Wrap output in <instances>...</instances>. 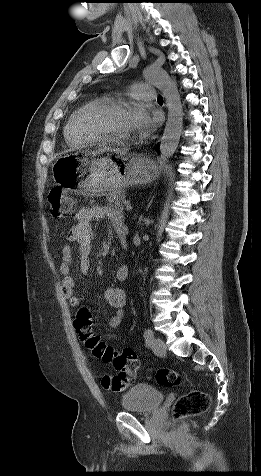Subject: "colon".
<instances>
[{"label": "colon", "instance_id": "5ec220e1", "mask_svg": "<svg viewBox=\"0 0 261 476\" xmlns=\"http://www.w3.org/2000/svg\"><path fill=\"white\" fill-rule=\"evenodd\" d=\"M50 213L53 217L61 218L70 214L73 209L72 199L65 193L62 187L52 188L48 194ZM92 314L87 308H81L74 321L76 332L85 347L92 354L106 363H111L118 371L116 375L102 377V386L105 389L122 392L135 380L139 368L137 354L129 348L118 351L105 343L92 328ZM158 384L164 387L179 386L183 378L176 371L162 368L156 373ZM210 406V397L200 390H192L178 398L174 407L173 415L176 419L196 416L205 412Z\"/></svg>", "mask_w": 261, "mask_h": 476}]
</instances>
